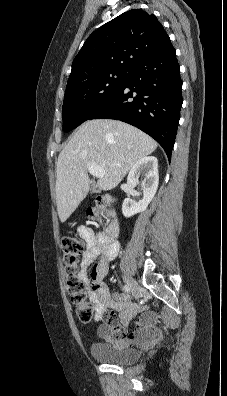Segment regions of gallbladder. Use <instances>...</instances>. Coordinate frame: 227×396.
I'll list each match as a JSON object with an SVG mask.
<instances>
[{"instance_id": "gallbladder-1", "label": "gallbladder", "mask_w": 227, "mask_h": 396, "mask_svg": "<svg viewBox=\"0 0 227 396\" xmlns=\"http://www.w3.org/2000/svg\"><path fill=\"white\" fill-rule=\"evenodd\" d=\"M92 190H93V192H95L96 191V187L94 186Z\"/></svg>"}]
</instances>
